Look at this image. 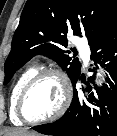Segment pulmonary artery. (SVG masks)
Returning a JSON list of instances; mask_svg holds the SVG:
<instances>
[{
	"mask_svg": "<svg viewBox=\"0 0 117 136\" xmlns=\"http://www.w3.org/2000/svg\"><path fill=\"white\" fill-rule=\"evenodd\" d=\"M77 46H78V50H79L80 54L82 55L84 60L87 62L89 59V55H90V50H89L88 46L86 45V43L83 40H79L77 42Z\"/></svg>",
	"mask_w": 117,
	"mask_h": 136,
	"instance_id": "e3ab8cb5",
	"label": "pulmonary artery"
}]
</instances>
